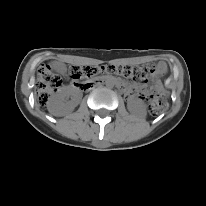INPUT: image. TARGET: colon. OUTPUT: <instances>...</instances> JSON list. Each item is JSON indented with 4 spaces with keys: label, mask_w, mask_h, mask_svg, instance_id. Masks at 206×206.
Wrapping results in <instances>:
<instances>
[{
    "label": "colon",
    "mask_w": 206,
    "mask_h": 206,
    "mask_svg": "<svg viewBox=\"0 0 206 206\" xmlns=\"http://www.w3.org/2000/svg\"><path fill=\"white\" fill-rule=\"evenodd\" d=\"M119 74L126 78L135 80H146L151 72L148 67L141 66L133 68L131 66H73L69 70V76L72 80L81 82L83 80L91 79L99 73ZM62 80L59 76L53 73L49 65H41L37 72V94L38 103L45 105L50 95L61 85ZM83 86V84H80ZM150 112L157 114L167 108V101L163 96L151 95L149 97Z\"/></svg>",
    "instance_id": "colon-1"
}]
</instances>
